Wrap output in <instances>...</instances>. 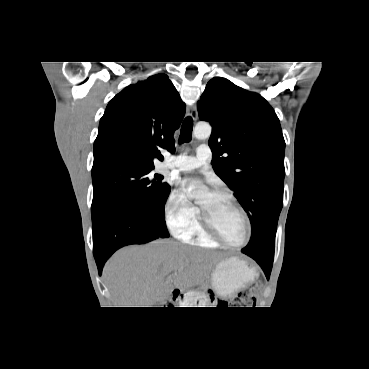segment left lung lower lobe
Masks as SVG:
<instances>
[{
    "label": "left lung lower lobe",
    "instance_id": "left-lung-lower-lobe-1",
    "mask_svg": "<svg viewBox=\"0 0 369 369\" xmlns=\"http://www.w3.org/2000/svg\"><path fill=\"white\" fill-rule=\"evenodd\" d=\"M250 257L253 258L261 266L267 279H269L271 269H272L273 259L261 258V257H257L254 255Z\"/></svg>",
    "mask_w": 369,
    "mask_h": 369
}]
</instances>
